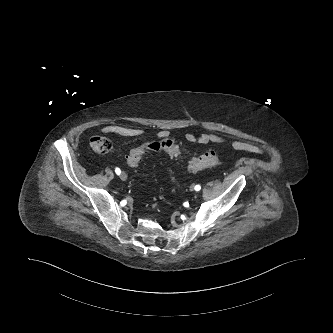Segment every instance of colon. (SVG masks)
<instances>
[{"mask_svg": "<svg viewBox=\"0 0 333 333\" xmlns=\"http://www.w3.org/2000/svg\"><path fill=\"white\" fill-rule=\"evenodd\" d=\"M91 147L99 153H107L112 149V141L105 136L95 135L90 140ZM166 151L169 155L173 157H181L182 149L180 145L171 138H164L155 140L152 142L144 143L139 146L134 147L129 151L125 158L126 165L136 170L141 164L143 158L153 151ZM219 163L218 156L210 151L206 152L197 157H191L187 166L192 171H198L206 168H211Z\"/></svg>", "mask_w": 333, "mask_h": 333, "instance_id": "1", "label": "colon"}]
</instances>
